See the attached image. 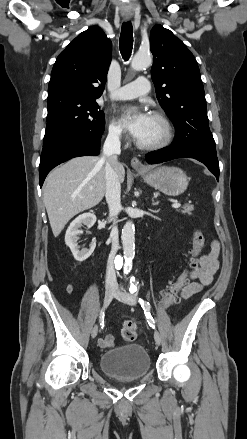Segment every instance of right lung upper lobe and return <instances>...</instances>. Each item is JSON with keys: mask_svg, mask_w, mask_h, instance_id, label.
Instances as JSON below:
<instances>
[{"mask_svg": "<svg viewBox=\"0 0 247 439\" xmlns=\"http://www.w3.org/2000/svg\"><path fill=\"white\" fill-rule=\"evenodd\" d=\"M111 56V41L99 27L79 34L56 59L47 106L66 100L98 99L105 87Z\"/></svg>", "mask_w": 247, "mask_h": 439, "instance_id": "1", "label": "right lung upper lobe"}]
</instances>
